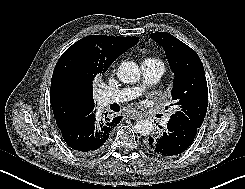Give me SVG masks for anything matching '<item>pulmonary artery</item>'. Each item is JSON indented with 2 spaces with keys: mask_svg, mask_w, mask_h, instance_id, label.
I'll return each mask as SVG.
<instances>
[{
  "mask_svg": "<svg viewBox=\"0 0 245 189\" xmlns=\"http://www.w3.org/2000/svg\"><path fill=\"white\" fill-rule=\"evenodd\" d=\"M141 69L144 77L142 84L130 88L103 92L100 97L102 106L105 107L111 103H123L137 98L145 88L156 83L165 71L162 62L149 59L142 61Z\"/></svg>",
  "mask_w": 245,
  "mask_h": 189,
  "instance_id": "1",
  "label": "pulmonary artery"
}]
</instances>
